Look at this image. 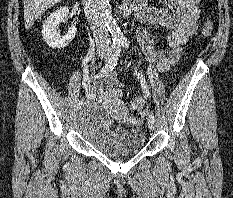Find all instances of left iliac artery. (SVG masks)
<instances>
[{
    "label": "left iliac artery",
    "mask_w": 233,
    "mask_h": 198,
    "mask_svg": "<svg viewBox=\"0 0 233 198\" xmlns=\"http://www.w3.org/2000/svg\"><path fill=\"white\" fill-rule=\"evenodd\" d=\"M122 46L125 47V48H128L129 47V43L127 40H123L121 42ZM136 75H137V78L139 79L140 83H141V87H142V90H143V93L145 94V97L148 96L149 92H148V86H147V83H146V80H145V77L143 76L142 73L140 72H136ZM152 77V76H151ZM149 117L152 118L153 120H155V117L153 114H149Z\"/></svg>",
    "instance_id": "obj_1"
}]
</instances>
